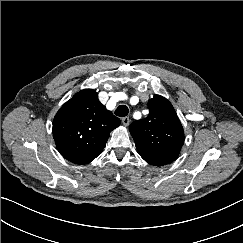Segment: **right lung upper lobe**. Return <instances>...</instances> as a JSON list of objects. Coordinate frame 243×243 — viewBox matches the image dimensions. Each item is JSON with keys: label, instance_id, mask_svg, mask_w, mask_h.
<instances>
[{"label": "right lung upper lobe", "instance_id": "right-lung-upper-lobe-1", "mask_svg": "<svg viewBox=\"0 0 243 243\" xmlns=\"http://www.w3.org/2000/svg\"><path fill=\"white\" fill-rule=\"evenodd\" d=\"M119 125V118L99 102L97 92L84 89L59 109L52 132L62 156L87 164L102 153L110 132Z\"/></svg>", "mask_w": 243, "mask_h": 243}]
</instances>
